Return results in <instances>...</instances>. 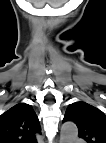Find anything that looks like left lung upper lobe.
Returning a JSON list of instances; mask_svg holds the SVG:
<instances>
[{"label": "left lung upper lobe", "mask_w": 106, "mask_h": 143, "mask_svg": "<svg viewBox=\"0 0 106 143\" xmlns=\"http://www.w3.org/2000/svg\"><path fill=\"white\" fill-rule=\"evenodd\" d=\"M63 121L78 127V136L87 143H106V114L86 102H74L67 108Z\"/></svg>", "instance_id": "left-lung-upper-lobe-1"}]
</instances>
